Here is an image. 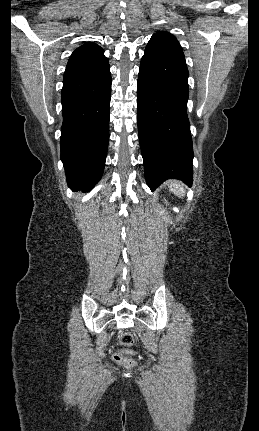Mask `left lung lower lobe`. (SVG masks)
I'll use <instances>...</instances> for the list:
<instances>
[{
	"instance_id": "0a47b994",
	"label": "left lung lower lobe",
	"mask_w": 259,
	"mask_h": 431,
	"mask_svg": "<svg viewBox=\"0 0 259 431\" xmlns=\"http://www.w3.org/2000/svg\"><path fill=\"white\" fill-rule=\"evenodd\" d=\"M188 76L182 51L150 39L140 63L137 120L144 174L151 190L170 178L192 183Z\"/></svg>"
}]
</instances>
